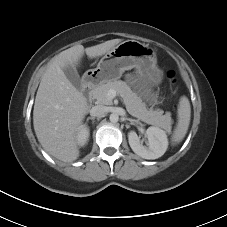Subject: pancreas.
<instances>
[{"mask_svg": "<svg viewBox=\"0 0 227 227\" xmlns=\"http://www.w3.org/2000/svg\"><path fill=\"white\" fill-rule=\"evenodd\" d=\"M110 89H114L123 97L129 114L147 124L161 127L167 132L171 131L172 119L170 114L166 113L163 115V110L161 109H147L140 97H138V95L127 85V83L122 80L107 81L95 87L91 91V94L97 104H112V99H110L107 95Z\"/></svg>", "mask_w": 227, "mask_h": 227, "instance_id": "cf45deb5", "label": "pancreas"}]
</instances>
